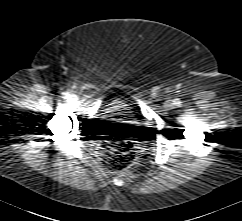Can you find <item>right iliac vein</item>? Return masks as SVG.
Masks as SVG:
<instances>
[{"label":"right iliac vein","mask_w":242,"mask_h":221,"mask_svg":"<svg viewBox=\"0 0 242 221\" xmlns=\"http://www.w3.org/2000/svg\"><path fill=\"white\" fill-rule=\"evenodd\" d=\"M71 100H73V101H74V100H75V97H74V96H71Z\"/></svg>","instance_id":"1"}]
</instances>
